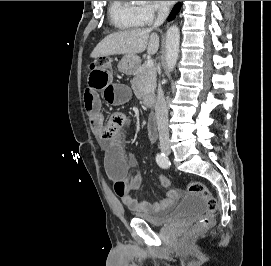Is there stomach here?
Instances as JSON below:
<instances>
[{
    "label": "stomach",
    "mask_w": 271,
    "mask_h": 266,
    "mask_svg": "<svg viewBox=\"0 0 271 266\" xmlns=\"http://www.w3.org/2000/svg\"><path fill=\"white\" fill-rule=\"evenodd\" d=\"M140 63V59L137 55H125L118 64L120 72L127 73L132 72L137 68Z\"/></svg>",
    "instance_id": "obj_1"
}]
</instances>
